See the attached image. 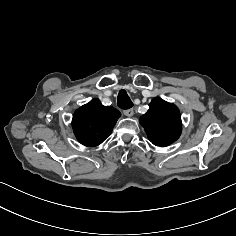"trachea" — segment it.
I'll return each mask as SVG.
<instances>
[{
	"label": "trachea",
	"mask_w": 236,
	"mask_h": 236,
	"mask_svg": "<svg viewBox=\"0 0 236 236\" xmlns=\"http://www.w3.org/2000/svg\"><path fill=\"white\" fill-rule=\"evenodd\" d=\"M117 105L121 109H130L133 106V102L129 98L125 90H121L117 97Z\"/></svg>",
	"instance_id": "3493384b"
}]
</instances>
